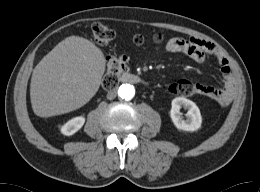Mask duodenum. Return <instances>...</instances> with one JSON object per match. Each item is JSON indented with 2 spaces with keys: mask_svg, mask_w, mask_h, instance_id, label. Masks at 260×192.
<instances>
[{
  "mask_svg": "<svg viewBox=\"0 0 260 192\" xmlns=\"http://www.w3.org/2000/svg\"><path fill=\"white\" fill-rule=\"evenodd\" d=\"M118 80L123 83L130 84H146V82L139 76L127 71H123L119 74Z\"/></svg>",
  "mask_w": 260,
  "mask_h": 192,
  "instance_id": "410a0bca",
  "label": "duodenum"
}]
</instances>
